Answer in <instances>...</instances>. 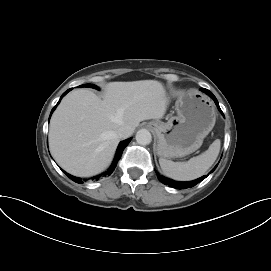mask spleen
Masks as SVG:
<instances>
[{
    "label": "spleen",
    "mask_w": 271,
    "mask_h": 271,
    "mask_svg": "<svg viewBox=\"0 0 271 271\" xmlns=\"http://www.w3.org/2000/svg\"><path fill=\"white\" fill-rule=\"evenodd\" d=\"M221 142L216 139L204 153L193 157L187 162H173L159 159L163 173L174 180L190 181L203 176L218 157Z\"/></svg>",
    "instance_id": "3e777b00"
}]
</instances>
